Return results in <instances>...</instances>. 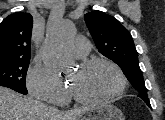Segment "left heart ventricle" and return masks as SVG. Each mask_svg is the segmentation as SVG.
<instances>
[{"mask_svg":"<svg viewBox=\"0 0 165 120\" xmlns=\"http://www.w3.org/2000/svg\"><path fill=\"white\" fill-rule=\"evenodd\" d=\"M119 85L115 71L107 65H96L88 69H78L70 79V86L79 95L97 99L113 93Z\"/></svg>","mask_w":165,"mask_h":120,"instance_id":"1","label":"left heart ventricle"}]
</instances>
